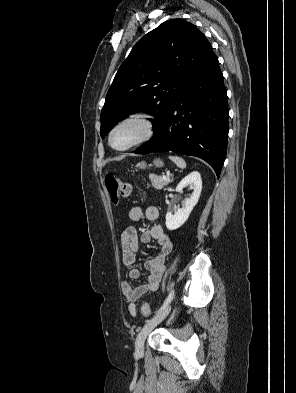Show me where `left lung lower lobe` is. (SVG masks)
<instances>
[{
    "mask_svg": "<svg viewBox=\"0 0 296 393\" xmlns=\"http://www.w3.org/2000/svg\"><path fill=\"white\" fill-rule=\"evenodd\" d=\"M227 91L213 52L173 102L154 136L134 153L168 152L196 156L219 177L227 152Z\"/></svg>",
    "mask_w": 296,
    "mask_h": 393,
    "instance_id": "obj_1",
    "label": "left lung lower lobe"
}]
</instances>
